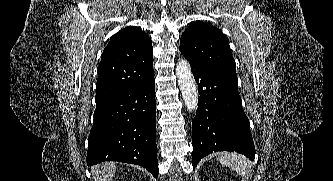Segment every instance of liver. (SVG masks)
Returning a JSON list of instances; mask_svg holds the SVG:
<instances>
[{"mask_svg":"<svg viewBox=\"0 0 333 181\" xmlns=\"http://www.w3.org/2000/svg\"><path fill=\"white\" fill-rule=\"evenodd\" d=\"M116 172L114 162H103L92 167L91 174L94 181H111Z\"/></svg>","mask_w":333,"mask_h":181,"instance_id":"liver-1","label":"liver"}]
</instances>
